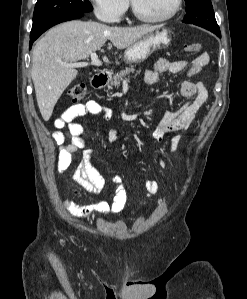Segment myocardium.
Listing matches in <instances>:
<instances>
[{
    "label": "myocardium",
    "mask_w": 247,
    "mask_h": 299,
    "mask_svg": "<svg viewBox=\"0 0 247 299\" xmlns=\"http://www.w3.org/2000/svg\"><path fill=\"white\" fill-rule=\"evenodd\" d=\"M182 2L183 0H175L172 9L167 14L157 17H150L141 13L134 0H130V5L134 16L139 20L147 23H161L170 20L176 15L182 6Z\"/></svg>",
    "instance_id": "myocardium-1"
}]
</instances>
